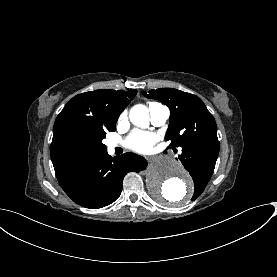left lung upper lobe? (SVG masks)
<instances>
[{
	"instance_id": "left-lung-upper-lobe-1",
	"label": "left lung upper lobe",
	"mask_w": 277,
	"mask_h": 277,
	"mask_svg": "<svg viewBox=\"0 0 277 277\" xmlns=\"http://www.w3.org/2000/svg\"><path fill=\"white\" fill-rule=\"evenodd\" d=\"M144 96L157 99L170 109L169 127L166 140L171 143L168 148L182 147L204 139L217 138V126L213 115L203 101L196 95L173 88H161L142 92ZM210 177L198 181L193 198L204 190Z\"/></svg>"
}]
</instances>
